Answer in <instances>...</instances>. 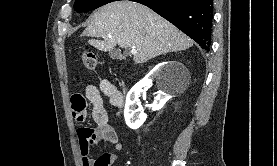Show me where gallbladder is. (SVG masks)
<instances>
[{"label":"gallbladder","instance_id":"gallbladder-1","mask_svg":"<svg viewBox=\"0 0 277 166\" xmlns=\"http://www.w3.org/2000/svg\"><path fill=\"white\" fill-rule=\"evenodd\" d=\"M109 56L114 59V60H117V59H121L122 58V55L120 53L119 50L117 49H112L110 52H109Z\"/></svg>","mask_w":277,"mask_h":166}]
</instances>
